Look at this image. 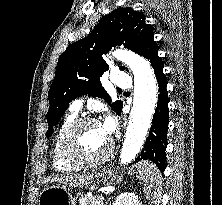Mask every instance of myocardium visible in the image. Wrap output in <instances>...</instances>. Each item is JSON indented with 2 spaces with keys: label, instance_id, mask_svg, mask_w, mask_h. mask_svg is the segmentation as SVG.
I'll return each mask as SVG.
<instances>
[{
  "label": "myocardium",
  "instance_id": "f54148a6",
  "mask_svg": "<svg viewBox=\"0 0 222 205\" xmlns=\"http://www.w3.org/2000/svg\"><path fill=\"white\" fill-rule=\"evenodd\" d=\"M89 123L99 124L98 120L93 117L82 116L76 118L66 129L61 140V151L65 160L79 167L94 166L103 163L111 156L114 149V142L111 138L109 139L106 150L101 155L94 158H84L72 148V139L76 132Z\"/></svg>",
  "mask_w": 222,
  "mask_h": 205
}]
</instances>
